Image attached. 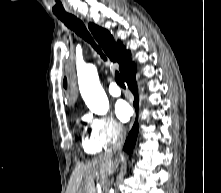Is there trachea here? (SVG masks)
I'll list each match as a JSON object with an SVG mask.
<instances>
[{
	"instance_id": "trachea-1",
	"label": "trachea",
	"mask_w": 221,
	"mask_h": 193,
	"mask_svg": "<svg viewBox=\"0 0 221 193\" xmlns=\"http://www.w3.org/2000/svg\"><path fill=\"white\" fill-rule=\"evenodd\" d=\"M58 19H60L69 29L73 30L77 35L81 36L85 41L89 42L93 48L100 54L102 59L106 60L105 55L102 53L101 49L95 44L93 38L90 33L86 29L84 23L75 17L72 14H64L57 15ZM115 81L120 86L125 88V84L119 74V72H115Z\"/></svg>"
}]
</instances>
